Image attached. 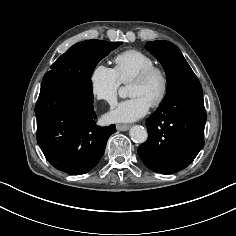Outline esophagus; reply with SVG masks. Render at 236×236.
Instances as JSON below:
<instances>
[{
    "label": "esophagus",
    "instance_id": "esophagus-1",
    "mask_svg": "<svg viewBox=\"0 0 236 236\" xmlns=\"http://www.w3.org/2000/svg\"><path fill=\"white\" fill-rule=\"evenodd\" d=\"M130 128V125H125V124H117L116 129L118 131H127Z\"/></svg>",
    "mask_w": 236,
    "mask_h": 236
}]
</instances>
